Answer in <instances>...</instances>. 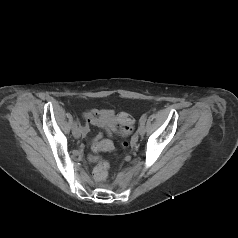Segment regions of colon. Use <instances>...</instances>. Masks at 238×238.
Instances as JSON below:
<instances>
[{
	"instance_id": "1",
	"label": "colon",
	"mask_w": 238,
	"mask_h": 238,
	"mask_svg": "<svg viewBox=\"0 0 238 238\" xmlns=\"http://www.w3.org/2000/svg\"><path fill=\"white\" fill-rule=\"evenodd\" d=\"M115 123L118 125V129L122 131L123 134H129L133 126V118L126 112L119 113L115 118ZM112 147V144H111ZM106 145H102V151H108L111 149ZM92 161L96 163L93 170V176L96 181H103L108 176L109 165L106 161L102 160L99 156H92Z\"/></svg>"
}]
</instances>
